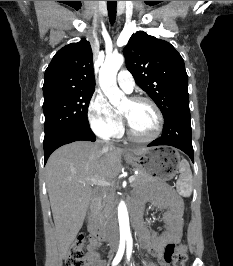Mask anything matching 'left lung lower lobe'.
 Returning <instances> with one entry per match:
<instances>
[{"label": "left lung lower lobe", "mask_w": 233, "mask_h": 266, "mask_svg": "<svg viewBox=\"0 0 233 266\" xmlns=\"http://www.w3.org/2000/svg\"><path fill=\"white\" fill-rule=\"evenodd\" d=\"M169 145L185 152L194 162L191 141V121L189 104L172 111L165 119L162 136L148 146Z\"/></svg>", "instance_id": "obj_1"}]
</instances>
